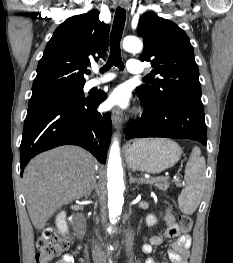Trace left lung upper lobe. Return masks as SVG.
Returning <instances> with one entry per match:
<instances>
[{
  "mask_svg": "<svg viewBox=\"0 0 233 263\" xmlns=\"http://www.w3.org/2000/svg\"><path fill=\"white\" fill-rule=\"evenodd\" d=\"M137 32L144 41L140 60L150 61L151 74L159 75L154 85L136 89L145 103L159 108L179 98L201 100L199 70L186 33L153 12L141 16Z\"/></svg>",
  "mask_w": 233,
  "mask_h": 263,
  "instance_id": "left-lung-upper-lobe-1",
  "label": "left lung upper lobe"
}]
</instances>
